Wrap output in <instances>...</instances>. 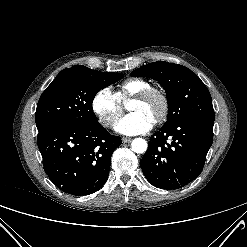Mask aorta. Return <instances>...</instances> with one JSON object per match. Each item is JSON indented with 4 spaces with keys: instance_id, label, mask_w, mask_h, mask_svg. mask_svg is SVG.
I'll use <instances>...</instances> for the list:
<instances>
[{
    "instance_id": "1",
    "label": "aorta",
    "mask_w": 247,
    "mask_h": 247,
    "mask_svg": "<svg viewBox=\"0 0 247 247\" xmlns=\"http://www.w3.org/2000/svg\"><path fill=\"white\" fill-rule=\"evenodd\" d=\"M147 147H148V144L146 140L143 138H135L131 143L132 150L137 154L146 152Z\"/></svg>"
}]
</instances>
